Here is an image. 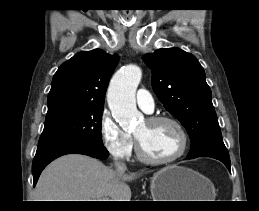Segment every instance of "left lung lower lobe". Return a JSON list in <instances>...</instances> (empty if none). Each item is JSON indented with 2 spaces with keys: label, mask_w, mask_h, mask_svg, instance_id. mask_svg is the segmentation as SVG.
Segmentation results:
<instances>
[{
  "label": "left lung lower lobe",
  "mask_w": 259,
  "mask_h": 211,
  "mask_svg": "<svg viewBox=\"0 0 259 211\" xmlns=\"http://www.w3.org/2000/svg\"><path fill=\"white\" fill-rule=\"evenodd\" d=\"M197 157H212L215 158L217 160H220L221 162H223L225 164V166L228 168V170L230 171V158L229 155H220V154H214V153H206V154H200L197 156H193V157H187L188 159H194Z\"/></svg>",
  "instance_id": "0a47b994"
}]
</instances>
